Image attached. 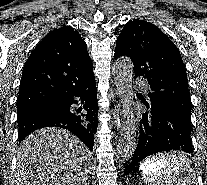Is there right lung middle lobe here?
Instances as JSON below:
<instances>
[{"label": "right lung middle lobe", "mask_w": 207, "mask_h": 185, "mask_svg": "<svg viewBox=\"0 0 207 185\" xmlns=\"http://www.w3.org/2000/svg\"><path fill=\"white\" fill-rule=\"evenodd\" d=\"M26 112V111H25ZM25 112H17V116H19V115H21V114H23V113H25Z\"/></svg>", "instance_id": "right-lung-middle-lobe-1"}]
</instances>
